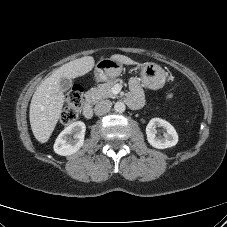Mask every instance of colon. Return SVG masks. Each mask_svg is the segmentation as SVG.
<instances>
[{"label":"colon","mask_w":227,"mask_h":227,"mask_svg":"<svg viewBox=\"0 0 227 227\" xmlns=\"http://www.w3.org/2000/svg\"><path fill=\"white\" fill-rule=\"evenodd\" d=\"M83 104V89L75 85L66 95L64 109L61 115V123L69 125L79 116Z\"/></svg>","instance_id":"1"}]
</instances>
